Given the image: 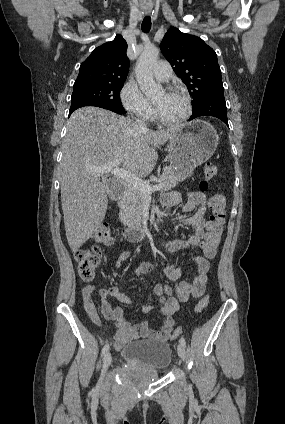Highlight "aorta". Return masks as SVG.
Wrapping results in <instances>:
<instances>
[{"instance_id": "aorta-1", "label": "aorta", "mask_w": 285, "mask_h": 424, "mask_svg": "<svg viewBox=\"0 0 285 424\" xmlns=\"http://www.w3.org/2000/svg\"><path fill=\"white\" fill-rule=\"evenodd\" d=\"M159 49L156 47L146 48L140 55L136 67L135 75L142 92L147 96L159 94L162 86L157 84L153 77V66L159 58Z\"/></svg>"}]
</instances>
